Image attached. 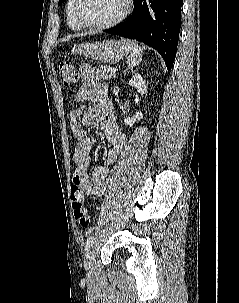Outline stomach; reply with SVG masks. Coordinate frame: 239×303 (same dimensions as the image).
<instances>
[{
    "mask_svg": "<svg viewBox=\"0 0 239 303\" xmlns=\"http://www.w3.org/2000/svg\"><path fill=\"white\" fill-rule=\"evenodd\" d=\"M75 53L98 59L105 63H116L123 59L128 51L125 45L119 41L106 40L95 43H82L74 48Z\"/></svg>",
    "mask_w": 239,
    "mask_h": 303,
    "instance_id": "0dacf381",
    "label": "stomach"
}]
</instances>
